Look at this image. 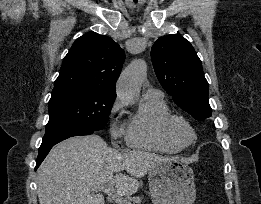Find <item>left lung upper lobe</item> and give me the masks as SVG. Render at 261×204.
Masks as SVG:
<instances>
[{"label": "left lung upper lobe", "mask_w": 261, "mask_h": 204, "mask_svg": "<svg viewBox=\"0 0 261 204\" xmlns=\"http://www.w3.org/2000/svg\"><path fill=\"white\" fill-rule=\"evenodd\" d=\"M158 80L173 101L196 120L211 116L209 85L194 48L180 35L159 38L151 48Z\"/></svg>", "instance_id": "left-lung-upper-lobe-1"}]
</instances>
